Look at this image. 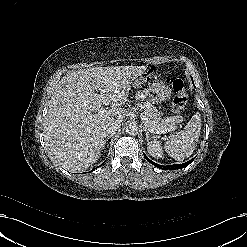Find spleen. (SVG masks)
Returning a JSON list of instances; mask_svg holds the SVG:
<instances>
[{"instance_id":"spleen-1","label":"spleen","mask_w":247,"mask_h":247,"mask_svg":"<svg viewBox=\"0 0 247 247\" xmlns=\"http://www.w3.org/2000/svg\"><path fill=\"white\" fill-rule=\"evenodd\" d=\"M201 125L200 114H194L184 130L167 139L164 149L168 155L177 161L190 157L197 146Z\"/></svg>"}]
</instances>
